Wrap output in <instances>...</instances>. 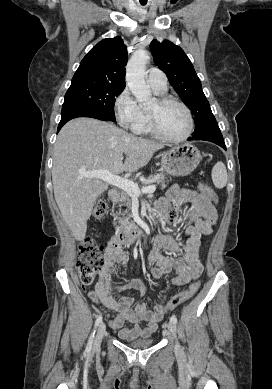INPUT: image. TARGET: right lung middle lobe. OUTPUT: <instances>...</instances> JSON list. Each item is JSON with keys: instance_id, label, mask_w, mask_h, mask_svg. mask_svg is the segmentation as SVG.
<instances>
[{"instance_id": "1", "label": "right lung middle lobe", "mask_w": 272, "mask_h": 389, "mask_svg": "<svg viewBox=\"0 0 272 389\" xmlns=\"http://www.w3.org/2000/svg\"><path fill=\"white\" fill-rule=\"evenodd\" d=\"M125 87L102 83H74L65 94L62 110L69 108L86 109L115 121L114 104Z\"/></svg>"}]
</instances>
